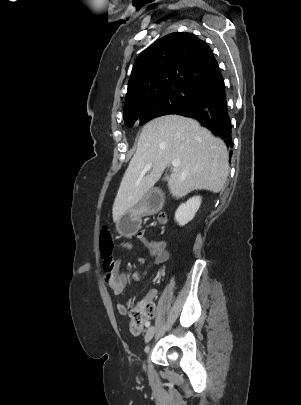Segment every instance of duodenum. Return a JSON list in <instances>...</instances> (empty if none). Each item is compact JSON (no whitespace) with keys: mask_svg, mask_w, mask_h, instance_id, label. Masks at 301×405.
Segmentation results:
<instances>
[{"mask_svg":"<svg viewBox=\"0 0 301 405\" xmlns=\"http://www.w3.org/2000/svg\"><path fill=\"white\" fill-rule=\"evenodd\" d=\"M143 195L139 208L141 219H151L152 213H162L166 204L163 190H145Z\"/></svg>","mask_w":301,"mask_h":405,"instance_id":"obj_1","label":"duodenum"}]
</instances>
